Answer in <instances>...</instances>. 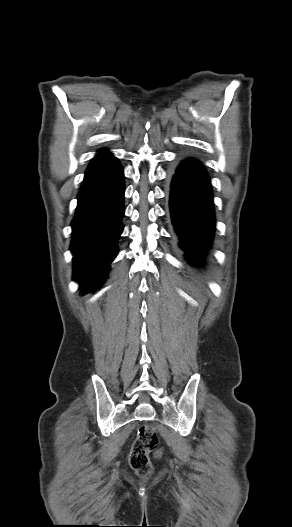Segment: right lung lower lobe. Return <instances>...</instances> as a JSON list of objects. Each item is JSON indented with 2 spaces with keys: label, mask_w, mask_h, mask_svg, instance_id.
<instances>
[{
  "label": "right lung lower lobe",
  "mask_w": 292,
  "mask_h": 527,
  "mask_svg": "<svg viewBox=\"0 0 292 527\" xmlns=\"http://www.w3.org/2000/svg\"><path fill=\"white\" fill-rule=\"evenodd\" d=\"M124 175L117 159L101 150L86 170L72 220L73 278L83 293L106 279L117 255L124 215Z\"/></svg>",
  "instance_id": "1"
}]
</instances>
